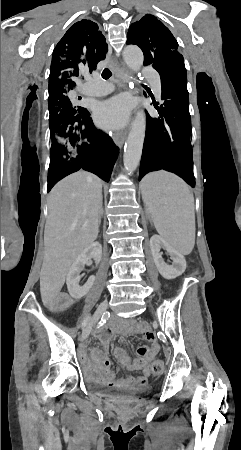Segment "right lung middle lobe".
<instances>
[{
  "mask_svg": "<svg viewBox=\"0 0 241 450\" xmlns=\"http://www.w3.org/2000/svg\"><path fill=\"white\" fill-rule=\"evenodd\" d=\"M48 107L52 142L50 154L72 152L74 150V144L60 129V125L67 121H78L89 114V112L86 108L79 106L76 99L70 96L48 100Z\"/></svg>",
  "mask_w": 241,
  "mask_h": 450,
  "instance_id": "right-lung-middle-lobe-1",
  "label": "right lung middle lobe"
}]
</instances>
